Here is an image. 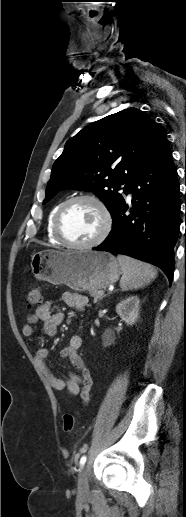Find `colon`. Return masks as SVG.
<instances>
[{"label": "colon", "instance_id": "1", "mask_svg": "<svg viewBox=\"0 0 186 517\" xmlns=\"http://www.w3.org/2000/svg\"><path fill=\"white\" fill-rule=\"evenodd\" d=\"M42 302L41 291L38 287H33L29 290L26 304L29 308L40 305ZM75 426V416L72 413H66L63 416V430L65 432H71Z\"/></svg>", "mask_w": 186, "mask_h": 517}]
</instances>
